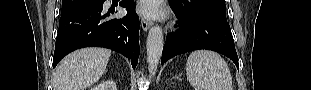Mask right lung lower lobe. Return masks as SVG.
Here are the masks:
<instances>
[{
	"instance_id": "right-lung-lower-lobe-1",
	"label": "right lung lower lobe",
	"mask_w": 311,
	"mask_h": 90,
	"mask_svg": "<svg viewBox=\"0 0 311 90\" xmlns=\"http://www.w3.org/2000/svg\"><path fill=\"white\" fill-rule=\"evenodd\" d=\"M105 0L76 7L61 14L55 44L53 68L70 52L83 47H105L131 59L135 68L139 58V18L133 0L119 5L127 9L121 19L111 18L114 11L103 9Z\"/></svg>"
}]
</instances>
